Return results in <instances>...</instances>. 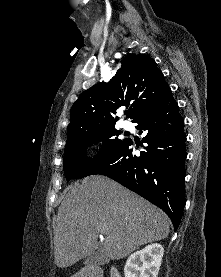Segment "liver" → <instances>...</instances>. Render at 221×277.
Returning <instances> with one entry per match:
<instances>
[{"instance_id": "6515ba94", "label": "liver", "mask_w": 221, "mask_h": 277, "mask_svg": "<svg viewBox=\"0 0 221 277\" xmlns=\"http://www.w3.org/2000/svg\"><path fill=\"white\" fill-rule=\"evenodd\" d=\"M99 228L106 236L105 255L119 260L144 244L165 239L170 220L162 210L117 182L89 176L68 192L58 209L56 265L66 268L93 254Z\"/></svg>"}]
</instances>
